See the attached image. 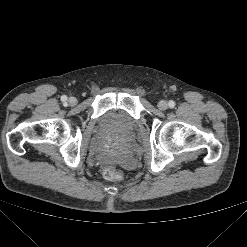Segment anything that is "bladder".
<instances>
[{
	"label": "bladder",
	"mask_w": 247,
	"mask_h": 247,
	"mask_svg": "<svg viewBox=\"0 0 247 247\" xmlns=\"http://www.w3.org/2000/svg\"><path fill=\"white\" fill-rule=\"evenodd\" d=\"M100 127L103 132H113L126 138L136 129L134 119L124 110H107L100 118Z\"/></svg>",
	"instance_id": "obj_1"
}]
</instances>
